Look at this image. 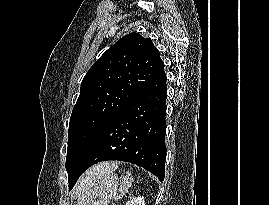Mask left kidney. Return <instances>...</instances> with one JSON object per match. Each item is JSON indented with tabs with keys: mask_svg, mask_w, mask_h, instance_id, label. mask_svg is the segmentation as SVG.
<instances>
[{
	"mask_svg": "<svg viewBox=\"0 0 269 205\" xmlns=\"http://www.w3.org/2000/svg\"><path fill=\"white\" fill-rule=\"evenodd\" d=\"M126 205H145L144 197H133L126 202Z\"/></svg>",
	"mask_w": 269,
	"mask_h": 205,
	"instance_id": "5707ae66",
	"label": "left kidney"
}]
</instances>
